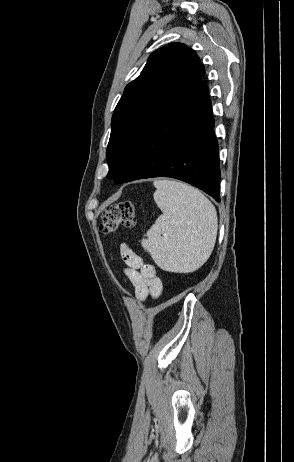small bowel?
Here are the masks:
<instances>
[{
    "label": "small bowel",
    "instance_id": "small-bowel-1",
    "mask_svg": "<svg viewBox=\"0 0 294 462\" xmlns=\"http://www.w3.org/2000/svg\"><path fill=\"white\" fill-rule=\"evenodd\" d=\"M120 253L126 264L124 273L134 286L136 298L142 302L157 298L162 290V282L155 267L145 264L126 243L121 244Z\"/></svg>",
    "mask_w": 294,
    "mask_h": 462
}]
</instances>
